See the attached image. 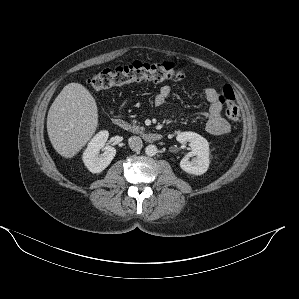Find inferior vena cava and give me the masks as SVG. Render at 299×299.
I'll return each mask as SVG.
<instances>
[{
    "label": "inferior vena cava",
    "mask_w": 299,
    "mask_h": 299,
    "mask_svg": "<svg viewBox=\"0 0 299 299\" xmlns=\"http://www.w3.org/2000/svg\"><path fill=\"white\" fill-rule=\"evenodd\" d=\"M128 143L133 151H140L143 146L142 139L139 136L130 137Z\"/></svg>",
    "instance_id": "1"
}]
</instances>
